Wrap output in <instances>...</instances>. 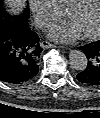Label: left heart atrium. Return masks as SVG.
Returning <instances> with one entry per match:
<instances>
[{
    "instance_id": "obj_1",
    "label": "left heart atrium",
    "mask_w": 100,
    "mask_h": 118,
    "mask_svg": "<svg viewBox=\"0 0 100 118\" xmlns=\"http://www.w3.org/2000/svg\"><path fill=\"white\" fill-rule=\"evenodd\" d=\"M81 30L71 19L59 21L49 29V37L57 42L70 43L75 41L81 35Z\"/></svg>"
}]
</instances>
